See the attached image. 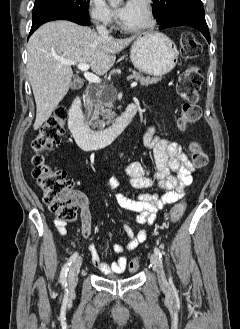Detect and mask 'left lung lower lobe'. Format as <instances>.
<instances>
[{
	"label": "left lung lower lobe",
	"instance_id": "obj_1",
	"mask_svg": "<svg viewBox=\"0 0 240 329\" xmlns=\"http://www.w3.org/2000/svg\"><path fill=\"white\" fill-rule=\"evenodd\" d=\"M159 29H166L176 26L190 25L197 28L210 43V33L204 14L192 12H179L170 15L163 23L159 24Z\"/></svg>",
	"mask_w": 240,
	"mask_h": 329
}]
</instances>
